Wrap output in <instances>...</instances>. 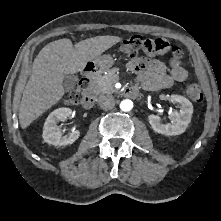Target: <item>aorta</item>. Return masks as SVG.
Wrapping results in <instances>:
<instances>
[{"label":"aorta","instance_id":"1","mask_svg":"<svg viewBox=\"0 0 221 221\" xmlns=\"http://www.w3.org/2000/svg\"><path fill=\"white\" fill-rule=\"evenodd\" d=\"M133 108V102L129 99L123 100L120 103V109L124 112H128Z\"/></svg>","mask_w":221,"mask_h":221}]
</instances>
